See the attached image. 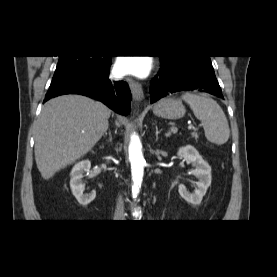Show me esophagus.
I'll return each instance as SVG.
<instances>
[{
  "mask_svg": "<svg viewBox=\"0 0 277 277\" xmlns=\"http://www.w3.org/2000/svg\"><path fill=\"white\" fill-rule=\"evenodd\" d=\"M132 96L134 98L135 101H141L144 98V94H143V89L142 86L139 82L131 79V78H127Z\"/></svg>",
  "mask_w": 277,
  "mask_h": 277,
  "instance_id": "34e87169",
  "label": "esophagus"
}]
</instances>
